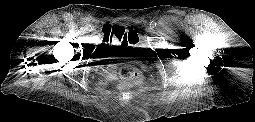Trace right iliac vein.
Wrapping results in <instances>:
<instances>
[{"instance_id":"right-iliac-vein-1","label":"right iliac vein","mask_w":255,"mask_h":122,"mask_svg":"<svg viewBox=\"0 0 255 122\" xmlns=\"http://www.w3.org/2000/svg\"><path fill=\"white\" fill-rule=\"evenodd\" d=\"M89 31H90L91 33H95V29H94V28H91Z\"/></svg>"}]
</instances>
